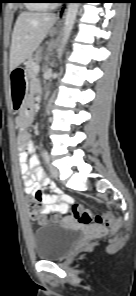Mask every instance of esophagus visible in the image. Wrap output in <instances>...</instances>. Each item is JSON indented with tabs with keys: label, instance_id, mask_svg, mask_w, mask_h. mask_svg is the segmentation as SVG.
Wrapping results in <instances>:
<instances>
[{
	"label": "esophagus",
	"instance_id": "obj_1",
	"mask_svg": "<svg viewBox=\"0 0 136 296\" xmlns=\"http://www.w3.org/2000/svg\"><path fill=\"white\" fill-rule=\"evenodd\" d=\"M66 12V5H63L58 11V19L63 20Z\"/></svg>",
	"mask_w": 136,
	"mask_h": 296
}]
</instances>
